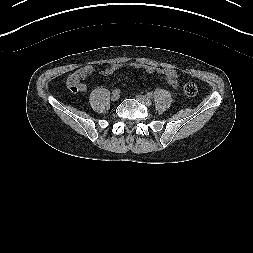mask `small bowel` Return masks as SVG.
<instances>
[{
    "instance_id": "small-bowel-1",
    "label": "small bowel",
    "mask_w": 253,
    "mask_h": 253,
    "mask_svg": "<svg viewBox=\"0 0 253 253\" xmlns=\"http://www.w3.org/2000/svg\"><path fill=\"white\" fill-rule=\"evenodd\" d=\"M132 67L137 69H144L148 73H158L162 75L170 85H172L174 88L178 86V77L175 71L171 69H164V68H156L150 65L142 64L139 62H134L130 64ZM121 67L120 64H112L109 68L103 70L101 72L102 75H108L112 73L113 71L119 69ZM81 72L85 74H90L94 71V67L92 65H85L80 69ZM79 91L86 92L87 91V85L85 83L79 84Z\"/></svg>"
}]
</instances>
